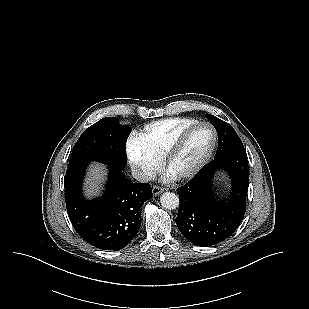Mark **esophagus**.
I'll return each mask as SVG.
<instances>
[{
    "label": "esophagus",
    "instance_id": "1",
    "mask_svg": "<svg viewBox=\"0 0 309 309\" xmlns=\"http://www.w3.org/2000/svg\"><path fill=\"white\" fill-rule=\"evenodd\" d=\"M163 191H164V188L162 187H159V186L152 187V194L155 196L161 194Z\"/></svg>",
    "mask_w": 309,
    "mask_h": 309
}]
</instances>
